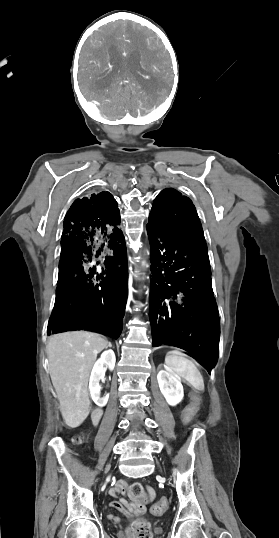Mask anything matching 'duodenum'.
<instances>
[{
    "label": "duodenum",
    "mask_w": 279,
    "mask_h": 538,
    "mask_svg": "<svg viewBox=\"0 0 279 538\" xmlns=\"http://www.w3.org/2000/svg\"><path fill=\"white\" fill-rule=\"evenodd\" d=\"M103 417V411L101 409H98V410H94L93 411V419H92V422L94 424H96V427H99V422H102V418Z\"/></svg>",
    "instance_id": "410a0bca"
}]
</instances>
